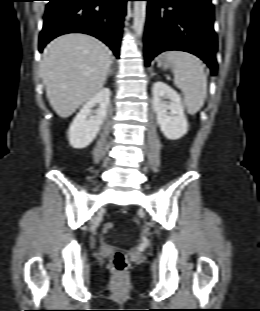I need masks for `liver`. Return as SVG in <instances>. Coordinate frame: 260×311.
<instances>
[{"label":"liver","mask_w":260,"mask_h":311,"mask_svg":"<svg viewBox=\"0 0 260 311\" xmlns=\"http://www.w3.org/2000/svg\"><path fill=\"white\" fill-rule=\"evenodd\" d=\"M111 64L110 50L95 37L71 33L54 39L44 50L40 73L57 115L71 116L98 93Z\"/></svg>","instance_id":"obj_1"}]
</instances>
